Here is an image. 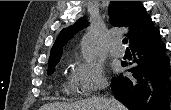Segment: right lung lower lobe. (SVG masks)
<instances>
[{"instance_id": "98d812e1", "label": "right lung lower lobe", "mask_w": 171, "mask_h": 110, "mask_svg": "<svg viewBox=\"0 0 171 110\" xmlns=\"http://www.w3.org/2000/svg\"><path fill=\"white\" fill-rule=\"evenodd\" d=\"M134 60L129 75L113 78L116 99L130 110H170L171 69L160 33L131 47Z\"/></svg>"}]
</instances>
